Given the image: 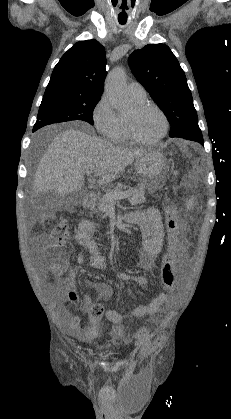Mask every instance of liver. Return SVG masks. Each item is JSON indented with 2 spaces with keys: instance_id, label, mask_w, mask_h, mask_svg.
I'll list each match as a JSON object with an SVG mask.
<instances>
[{
  "instance_id": "6515ba94",
  "label": "liver",
  "mask_w": 231,
  "mask_h": 419,
  "mask_svg": "<svg viewBox=\"0 0 231 419\" xmlns=\"http://www.w3.org/2000/svg\"><path fill=\"white\" fill-rule=\"evenodd\" d=\"M147 152L114 146L97 138L90 129L65 130L54 137L39 163L33 183L34 194L76 192L84 185L87 169L94 171L100 183L112 182Z\"/></svg>"
}]
</instances>
